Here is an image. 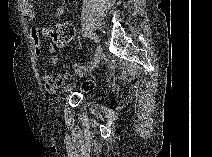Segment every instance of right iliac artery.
Masks as SVG:
<instances>
[{"mask_svg":"<svg viewBox=\"0 0 212 157\" xmlns=\"http://www.w3.org/2000/svg\"><path fill=\"white\" fill-rule=\"evenodd\" d=\"M90 39L94 40L95 42H97V38L95 35H89L88 36Z\"/></svg>","mask_w":212,"mask_h":157,"instance_id":"82829eb1","label":"right iliac artery"}]
</instances>
